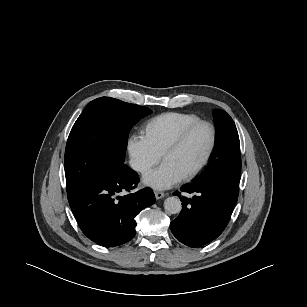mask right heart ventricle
<instances>
[{
  "label": "right heart ventricle",
  "instance_id": "e07e8e85",
  "mask_svg": "<svg viewBox=\"0 0 307 307\" xmlns=\"http://www.w3.org/2000/svg\"><path fill=\"white\" fill-rule=\"evenodd\" d=\"M201 120L190 113L168 112L151 119L145 127V136L161 155L175 137L189 124Z\"/></svg>",
  "mask_w": 307,
  "mask_h": 307
}]
</instances>
